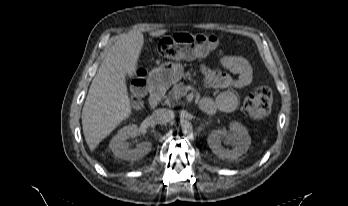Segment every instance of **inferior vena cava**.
I'll return each mask as SVG.
<instances>
[{
	"instance_id": "inferior-vena-cava-1",
	"label": "inferior vena cava",
	"mask_w": 348,
	"mask_h": 206,
	"mask_svg": "<svg viewBox=\"0 0 348 206\" xmlns=\"http://www.w3.org/2000/svg\"><path fill=\"white\" fill-rule=\"evenodd\" d=\"M174 112L167 108H159L153 112V119L158 124H166L173 120Z\"/></svg>"
}]
</instances>
